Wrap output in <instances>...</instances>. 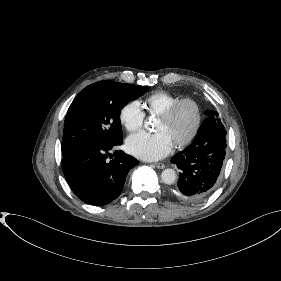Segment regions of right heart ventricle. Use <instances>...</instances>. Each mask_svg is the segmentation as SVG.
<instances>
[{"label":"right heart ventricle","mask_w":281,"mask_h":281,"mask_svg":"<svg viewBox=\"0 0 281 281\" xmlns=\"http://www.w3.org/2000/svg\"><path fill=\"white\" fill-rule=\"evenodd\" d=\"M179 99V96L159 90L150 93L138 103L149 115L157 116Z\"/></svg>","instance_id":"e07e8e85"}]
</instances>
